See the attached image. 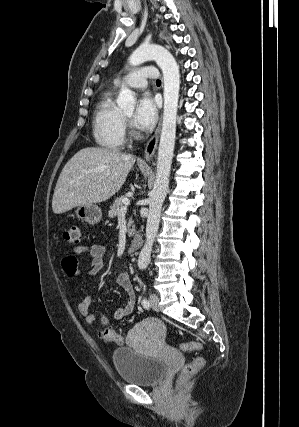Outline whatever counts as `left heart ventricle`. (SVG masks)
Listing matches in <instances>:
<instances>
[{
	"mask_svg": "<svg viewBox=\"0 0 299 427\" xmlns=\"http://www.w3.org/2000/svg\"><path fill=\"white\" fill-rule=\"evenodd\" d=\"M131 114H132L131 112H127V113H124V116H125V117H130V116H131Z\"/></svg>",
	"mask_w": 299,
	"mask_h": 427,
	"instance_id": "left-heart-ventricle-1",
	"label": "left heart ventricle"
}]
</instances>
